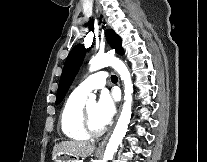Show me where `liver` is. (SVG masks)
I'll use <instances>...</instances> for the list:
<instances>
[{
	"label": "liver",
	"mask_w": 207,
	"mask_h": 162,
	"mask_svg": "<svg viewBox=\"0 0 207 162\" xmlns=\"http://www.w3.org/2000/svg\"><path fill=\"white\" fill-rule=\"evenodd\" d=\"M95 150V145L93 143H86L81 141H62L56 144L53 148V156L58 154H67L73 157H88Z\"/></svg>",
	"instance_id": "6515ba94"
}]
</instances>
